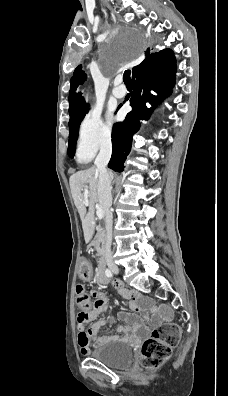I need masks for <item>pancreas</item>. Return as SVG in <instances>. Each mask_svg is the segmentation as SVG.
<instances>
[{
	"label": "pancreas",
	"instance_id": "pancreas-1",
	"mask_svg": "<svg viewBox=\"0 0 228 396\" xmlns=\"http://www.w3.org/2000/svg\"><path fill=\"white\" fill-rule=\"evenodd\" d=\"M104 240V231L100 226H98L96 235L94 237V240L91 241V244L95 246V249L99 255H101L103 252Z\"/></svg>",
	"mask_w": 228,
	"mask_h": 396
}]
</instances>
